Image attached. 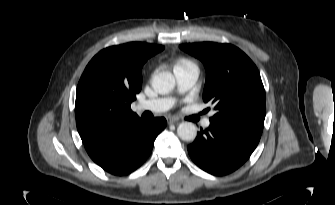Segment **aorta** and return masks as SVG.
I'll return each instance as SVG.
<instances>
[{"instance_id":"762f6f07","label":"aorta","mask_w":335,"mask_h":205,"mask_svg":"<svg viewBox=\"0 0 335 205\" xmlns=\"http://www.w3.org/2000/svg\"><path fill=\"white\" fill-rule=\"evenodd\" d=\"M152 87L159 94H167L175 87V78L168 71L160 72L153 76ZM177 134L183 141H193L197 136V128L191 122H183L177 128Z\"/></svg>"}]
</instances>
